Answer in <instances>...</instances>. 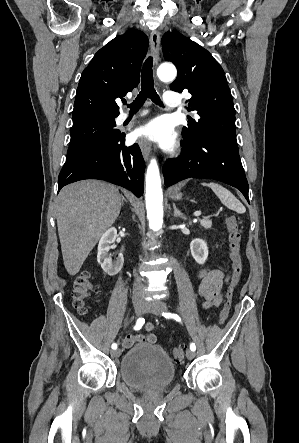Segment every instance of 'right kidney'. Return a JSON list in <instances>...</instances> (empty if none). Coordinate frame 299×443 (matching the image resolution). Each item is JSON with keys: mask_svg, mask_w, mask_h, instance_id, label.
I'll use <instances>...</instances> for the list:
<instances>
[{"mask_svg": "<svg viewBox=\"0 0 299 443\" xmlns=\"http://www.w3.org/2000/svg\"><path fill=\"white\" fill-rule=\"evenodd\" d=\"M116 237V228H110L102 235L98 244L97 261L101 265L103 271L110 276L116 275L121 270L124 263L123 254H119L115 263H112L111 258L108 255L111 244L115 242Z\"/></svg>", "mask_w": 299, "mask_h": 443, "instance_id": "obj_1", "label": "right kidney"}]
</instances>
